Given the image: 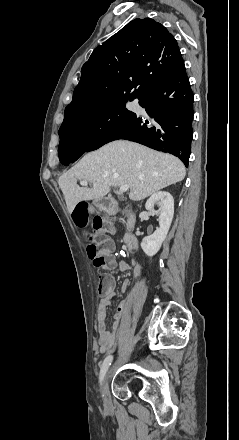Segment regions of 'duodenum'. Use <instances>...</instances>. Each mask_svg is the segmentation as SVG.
I'll return each instance as SVG.
<instances>
[{
  "instance_id": "410a0bca",
  "label": "duodenum",
  "mask_w": 239,
  "mask_h": 440,
  "mask_svg": "<svg viewBox=\"0 0 239 440\" xmlns=\"http://www.w3.org/2000/svg\"><path fill=\"white\" fill-rule=\"evenodd\" d=\"M98 203L100 209L107 214H115L118 210L117 203L109 197L100 198ZM135 222H136L135 214L132 212H128L126 233L124 236V240L127 249L129 251H134L137 248V238L133 234Z\"/></svg>"
}]
</instances>
